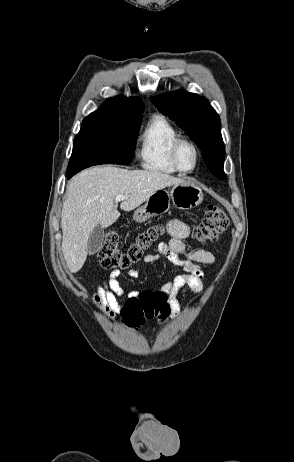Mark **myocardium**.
Returning <instances> with one entry per match:
<instances>
[{
    "label": "myocardium",
    "instance_id": "obj_1",
    "mask_svg": "<svg viewBox=\"0 0 294 462\" xmlns=\"http://www.w3.org/2000/svg\"><path fill=\"white\" fill-rule=\"evenodd\" d=\"M183 144L190 145L192 147L193 151H194V154H195L194 166L191 169H188V170L183 169L181 167V165L179 163V159H178L179 149ZM170 160H171L172 165L174 166V168L177 171H179L181 173H192L197 169V167L199 165L200 150H199L198 146L196 145V143L194 141H192L191 139L185 138V137H179L173 142V144L171 146Z\"/></svg>",
    "mask_w": 294,
    "mask_h": 462
}]
</instances>
